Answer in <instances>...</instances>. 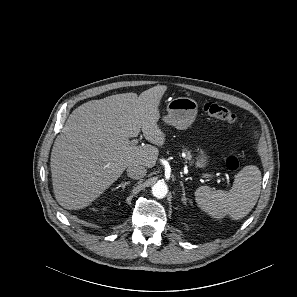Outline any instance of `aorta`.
Masks as SVG:
<instances>
[{"mask_svg": "<svg viewBox=\"0 0 297 297\" xmlns=\"http://www.w3.org/2000/svg\"><path fill=\"white\" fill-rule=\"evenodd\" d=\"M168 188L167 185L164 182L158 181L154 186L152 187V194L156 198H164L167 195Z\"/></svg>", "mask_w": 297, "mask_h": 297, "instance_id": "762f6f07", "label": "aorta"}]
</instances>
